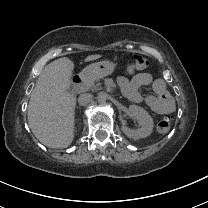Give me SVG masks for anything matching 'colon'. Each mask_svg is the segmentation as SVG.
I'll list each match as a JSON object with an SVG mask.
<instances>
[{"label": "colon", "instance_id": "5ec220e1", "mask_svg": "<svg viewBox=\"0 0 208 208\" xmlns=\"http://www.w3.org/2000/svg\"><path fill=\"white\" fill-rule=\"evenodd\" d=\"M149 66V59L139 54H132L127 59V71L129 74L145 71ZM172 123V118L170 116H165L158 122V130L160 132H167L172 127Z\"/></svg>", "mask_w": 208, "mask_h": 208}]
</instances>
